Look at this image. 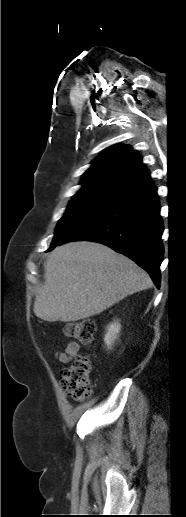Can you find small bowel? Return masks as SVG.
Wrapping results in <instances>:
<instances>
[{
	"label": "small bowel",
	"instance_id": "obj_1",
	"mask_svg": "<svg viewBox=\"0 0 186 517\" xmlns=\"http://www.w3.org/2000/svg\"><path fill=\"white\" fill-rule=\"evenodd\" d=\"M78 351L79 344L71 341L66 344L64 351H57L55 357L61 363H68L77 355Z\"/></svg>",
	"mask_w": 186,
	"mask_h": 517
}]
</instances>
